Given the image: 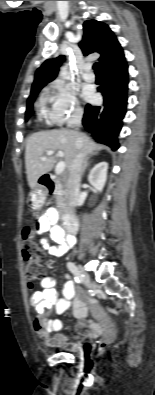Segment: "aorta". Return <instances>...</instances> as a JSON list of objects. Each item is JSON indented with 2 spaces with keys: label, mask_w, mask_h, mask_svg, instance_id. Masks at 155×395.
<instances>
[{
  "label": "aorta",
  "mask_w": 155,
  "mask_h": 395,
  "mask_svg": "<svg viewBox=\"0 0 155 395\" xmlns=\"http://www.w3.org/2000/svg\"><path fill=\"white\" fill-rule=\"evenodd\" d=\"M67 69H66V67H62L61 68V71H60V76L61 77H63V78H67Z\"/></svg>",
  "instance_id": "obj_1"
}]
</instances>
